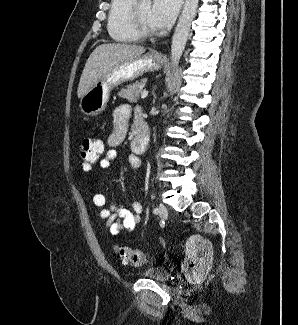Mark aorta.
Here are the masks:
<instances>
[{
    "label": "aorta",
    "instance_id": "1",
    "mask_svg": "<svg viewBox=\"0 0 298 325\" xmlns=\"http://www.w3.org/2000/svg\"><path fill=\"white\" fill-rule=\"evenodd\" d=\"M139 2L142 6H151L152 4V0H139ZM198 2L199 0H185L179 20L175 26L170 46L171 74H174L183 54V50H185L191 22L193 18H195Z\"/></svg>",
    "mask_w": 298,
    "mask_h": 325
}]
</instances>
